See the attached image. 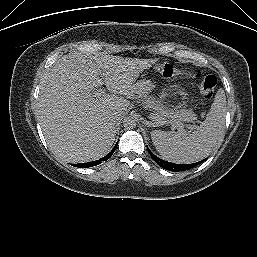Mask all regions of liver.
Returning <instances> with one entry per match:
<instances>
[{
	"label": "liver",
	"instance_id": "6515ba94",
	"mask_svg": "<svg viewBox=\"0 0 257 257\" xmlns=\"http://www.w3.org/2000/svg\"><path fill=\"white\" fill-rule=\"evenodd\" d=\"M156 62L80 52L58 59L46 71L38 99L39 122L53 154L72 163L107 154L116 136L112 114L122 116L130 105L124 97L137 93L136 79ZM104 83L111 94L93 97L91 91Z\"/></svg>",
	"mask_w": 257,
	"mask_h": 257
}]
</instances>
